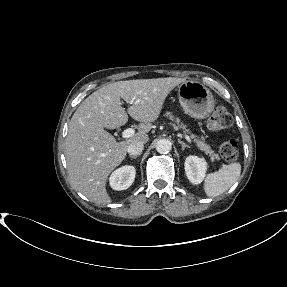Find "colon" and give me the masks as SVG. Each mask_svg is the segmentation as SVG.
I'll return each instance as SVG.
<instances>
[{
    "mask_svg": "<svg viewBox=\"0 0 287 287\" xmlns=\"http://www.w3.org/2000/svg\"><path fill=\"white\" fill-rule=\"evenodd\" d=\"M231 114L224 107H218L207 121V128L211 132L226 129L232 125ZM219 153L225 161H235L239 155L238 143L234 138L223 140L219 146Z\"/></svg>",
    "mask_w": 287,
    "mask_h": 287,
    "instance_id": "obj_1",
    "label": "colon"
}]
</instances>
